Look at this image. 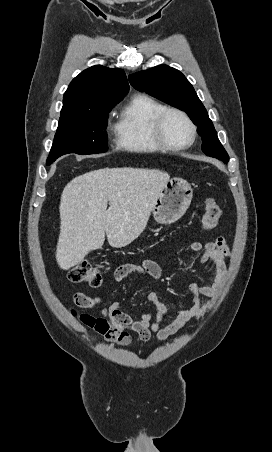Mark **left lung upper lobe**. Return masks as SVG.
<instances>
[{
  "label": "left lung upper lobe",
  "mask_w": 272,
  "mask_h": 452,
  "mask_svg": "<svg viewBox=\"0 0 272 452\" xmlns=\"http://www.w3.org/2000/svg\"><path fill=\"white\" fill-rule=\"evenodd\" d=\"M130 84L137 90L185 111L198 127L202 137V150L211 157L227 163L229 156L220 143L208 113L193 86L178 70L167 65L129 75Z\"/></svg>",
  "instance_id": "5c2ea615"
}]
</instances>
